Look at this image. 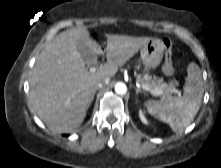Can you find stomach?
<instances>
[{
    "mask_svg": "<svg viewBox=\"0 0 221 168\" xmlns=\"http://www.w3.org/2000/svg\"><path fill=\"white\" fill-rule=\"evenodd\" d=\"M165 45L162 40L153 38L141 47V60L149 70H155L163 58Z\"/></svg>",
    "mask_w": 221,
    "mask_h": 168,
    "instance_id": "stomach-1",
    "label": "stomach"
}]
</instances>
